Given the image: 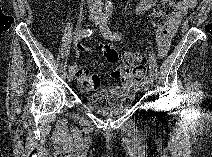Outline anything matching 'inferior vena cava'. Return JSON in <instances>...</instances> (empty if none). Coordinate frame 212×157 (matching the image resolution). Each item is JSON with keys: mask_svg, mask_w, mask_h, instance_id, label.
<instances>
[{"mask_svg": "<svg viewBox=\"0 0 212 157\" xmlns=\"http://www.w3.org/2000/svg\"><path fill=\"white\" fill-rule=\"evenodd\" d=\"M89 9L91 11L94 10H101L102 9V2L101 0H88Z\"/></svg>", "mask_w": 212, "mask_h": 157, "instance_id": "602c4592", "label": "inferior vena cava"}]
</instances>
